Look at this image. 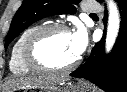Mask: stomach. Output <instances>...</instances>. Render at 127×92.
Segmentation results:
<instances>
[{"label":"stomach","mask_w":127,"mask_h":92,"mask_svg":"<svg viewBox=\"0 0 127 92\" xmlns=\"http://www.w3.org/2000/svg\"><path fill=\"white\" fill-rule=\"evenodd\" d=\"M47 92H91L90 86L85 81H79L75 84L53 87Z\"/></svg>","instance_id":"stomach-1"}]
</instances>
